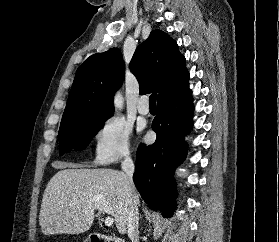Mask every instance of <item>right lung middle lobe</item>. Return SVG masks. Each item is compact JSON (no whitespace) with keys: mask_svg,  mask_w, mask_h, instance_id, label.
I'll use <instances>...</instances> for the list:
<instances>
[{"mask_svg":"<svg viewBox=\"0 0 279 242\" xmlns=\"http://www.w3.org/2000/svg\"><path fill=\"white\" fill-rule=\"evenodd\" d=\"M108 118H90L82 122L60 126L58 137L60 143V155L71 150H83L92 137L102 128Z\"/></svg>","mask_w":279,"mask_h":242,"instance_id":"dd1d6c3e","label":"right lung middle lobe"}]
</instances>
